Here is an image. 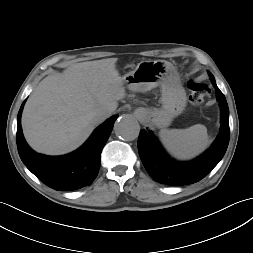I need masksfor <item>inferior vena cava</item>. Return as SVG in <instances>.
Listing matches in <instances>:
<instances>
[{
	"label": "inferior vena cava",
	"instance_id": "602c4592",
	"mask_svg": "<svg viewBox=\"0 0 253 253\" xmlns=\"http://www.w3.org/2000/svg\"><path fill=\"white\" fill-rule=\"evenodd\" d=\"M112 114V110L110 109H104V110H99L94 114V118L97 122H103L107 118H109Z\"/></svg>",
	"mask_w": 253,
	"mask_h": 253
}]
</instances>
